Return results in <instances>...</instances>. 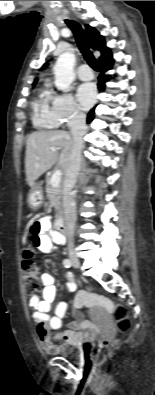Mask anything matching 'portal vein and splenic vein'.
Here are the masks:
<instances>
[{
  "label": "portal vein and splenic vein",
  "mask_w": 155,
  "mask_h": 395,
  "mask_svg": "<svg viewBox=\"0 0 155 395\" xmlns=\"http://www.w3.org/2000/svg\"><path fill=\"white\" fill-rule=\"evenodd\" d=\"M52 152H56L57 149L52 148L51 149ZM61 176H62V172L61 170H56L53 175L51 176V183L53 187H57L60 182H61Z\"/></svg>",
  "instance_id": "obj_1"
}]
</instances>
